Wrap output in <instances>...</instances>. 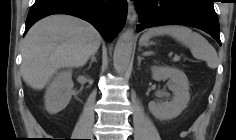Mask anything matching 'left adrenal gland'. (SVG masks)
<instances>
[{"label": "left adrenal gland", "instance_id": "left-adrenal-gland-1", "mask_svg": "<svg viewBox=\"0 0 236 140\" xmlns=\"http://www.w3.org/2000/svg\"><path fill=\"white\" fill-rule=\"evenodd\" d=\"M143 57L138 56V65L140 66Z\"/></svg>", "mask_w": 236, "mask_h": 140}]
</instances>
